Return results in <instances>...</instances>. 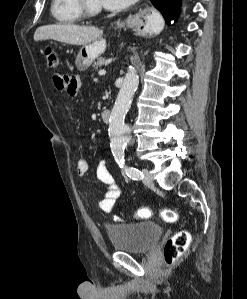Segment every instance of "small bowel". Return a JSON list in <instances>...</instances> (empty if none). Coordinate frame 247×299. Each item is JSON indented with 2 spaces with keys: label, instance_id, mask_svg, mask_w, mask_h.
Wrapping results in <instances>:
<instances>
[{
  "label": "small bowel",
  "instance_id": "small-bowel-1",
  "mask_svg": "<svg viewBox=\"0 0 247 299\" xmlns=\"http://www.w3.org/2000/svg\"><path fill=\"white\" fill-rule=\"evenodd\" d=\"M53 82L58 90L64 91L69 98H75L78 94L80 80L77 77L68 75L56 74L53 77ZM76 171L80 176H84L89 171V164L85 159H79L76 164ZM98 179L106 186L104 197L99 201V208L106 213L113 210L118 198L121 194V189L110 173L105 161H100L96 168Z\"/></svg>",
  "mask_w": 247,
  "mask_h": 299
}]
</instances>
